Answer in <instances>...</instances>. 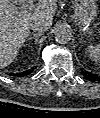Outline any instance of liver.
<instances>
[{
    "instance_id": "6515ba94",
    "label": "liver",
    "mask_w": 100,
    "mask_h": 118,
    "mask_svg": "<svg viewBox=\"0 0 100 118\" xmlns=\"http://www.w3.org/2000/svg\"><path fill=\"white\" fill-rule=\"evenodd\" d=\"M0 0V65H10L30 33L31 23L44 20L49 26L57 10L58 0H39L32 10L19 11L17 2Z\"/></svg>"
}]
</instances>
